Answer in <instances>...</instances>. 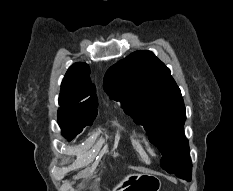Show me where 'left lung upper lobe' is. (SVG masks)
<instances>
[{
	"instance_id": "obj_1",
	"label": "left lung upper lobe",
	"mask_w": 233,
	"mask_h": 191,
	"mask_svg": "<svg viewBox=\"0 0 233 191\" xmlns=\"http://www.w3.org/2000/svg\"><path fill=\"white\" fill-rule=\"evenodd\" d=\"M103 86L159 148L163 169L177 176L192 172L183 98L163 62L150 51L133 52L106 72Z\"/></svg>"
}]
</instances>
